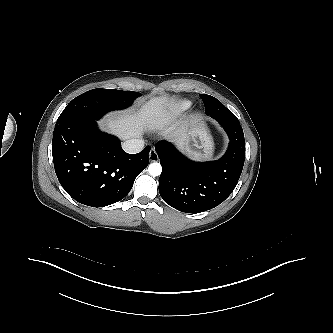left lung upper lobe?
<instances>
[{"instance_id":"5c2ea615","label":"left lung upper lobe","mask_w":333,"mask_h":333,"mask_svg":"<svg viewBox=\"0 0 333 333\" xmlns=\"http://www.w3.org/2000/svg\"><path fill=\"white\" fill-rule=\"evenodd\" d=\"M200 97L205 104V112L207 115L211 117L221 116L225 119L238 120L237 117L216 98L206 94H201Z\"/></svg>"}]
</instances>
